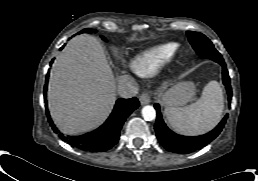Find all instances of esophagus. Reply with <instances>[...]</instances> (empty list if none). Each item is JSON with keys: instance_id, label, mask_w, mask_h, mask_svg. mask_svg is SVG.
I'll use <instances>...</instances> for the list:
<instances>
[{"instance_id": "obj_1", "label": "esophagus", "mask_w": 258, "mask_h": 181, "mask_svg": "<svg viewBox=\"0 0 258 181\" xmlns=\"http://www.w3.org/2000/svg\"><path fill=\"white\" fill-rule=\"evenodd\" d=\"M139 101H140V104H141V105L149 104L150 101H151L149 94H148L147 92H143V93L140 95Z\"/></svg>"}]
</instances>
